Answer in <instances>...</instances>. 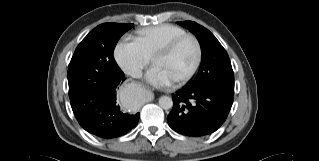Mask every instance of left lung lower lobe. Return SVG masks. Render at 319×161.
<instances>
[{
    "mask_svg": "<svg viewBox=\"0 0 319 161\" xmlns=\"http://www.w3.org/2000/svg\"><path fill=\"white\" fill-rule=\"evenodd\" d=\"M173 108L167 117L176 132L201 137L215 132L226 120L233 95L204 88L184 87L172 95Z\"/></svg>",
    "mask_w": 319,
    "mask_h": 161,
    "instance_id": "0a47b994",
    "label": "left lung lower lobe"
}]
</instances>
